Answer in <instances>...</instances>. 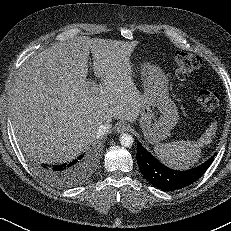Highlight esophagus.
Instances as JSON below:
<instances>
[{"instance_id": "1", "label": "esophagus", "mask_w": 231, "mask_h": 231, "mask_svg": "<svg viewBox=\"0 0 231 231\" xmlns=\"http://www.w3.org/2000/svg\"><path fill=\"white\" fill-rule=\"evenodd\" d=\"M128 130H129V127L125 123H119L116 126V131L118 133H124V132H127Z\"/></svg>"}]
</instances>
